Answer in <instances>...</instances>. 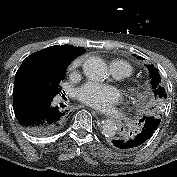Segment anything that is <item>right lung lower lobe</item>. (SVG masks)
Listing matches in <instances>:
<instances>
[{
	"label": "right lung lower lobe",
	"instance_id": "obj_1",
	"mask_svg": "<svg viewBox=\"0 0 177 177\" xmlns=\"http://www.w3.org/2000/svg\"><path fill=\"white\" fill-rule=\"evenodd\" d=\"M54 97L14 86L13 109L15 116L31 135L37 137L52 135L67 122L68 112L53 105Z\"/></svg>",
	"mask_w": 177,
	"mask_h": 177
}]
</instances>
